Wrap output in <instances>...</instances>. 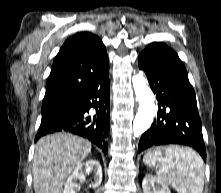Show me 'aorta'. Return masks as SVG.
I'll return each mask as SVG.
<instances>
[{"label": "aorta", "instance_id": "1", "mask_svg": "<svg viewBox=\"0 0 221 193\" xmlns=\"http://www.w3.org/2000/svg\"><path fill=\"white\" fill-rule=\"evenodd\" d=\"M132 84L136 98L139 101L138 113L133 121V132L135 137H139L153 122L156 112L155 97L148 87L143 71L133 76Z\"/></svg>", "mask_w": 221, "mask_h": 193}]
</instances>
